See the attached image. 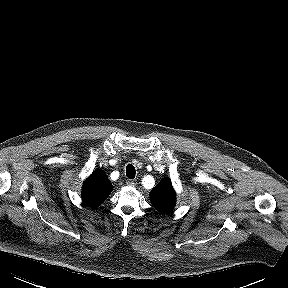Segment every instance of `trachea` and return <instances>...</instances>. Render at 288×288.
<instances>
[{"label": "trachea", "mask_w": 288, "mask_h": 288, "mask_svg": "<svg viewBox=\"0 0 288 288\" xmlns=\"http://www.w3.org/2000/svg\"><path fill=\"white\" fill-rule=\"evenodd\" d=\"M135 174H136L135 167L132 164H128L126 166V176L129 179H133L135 178Z\"/></svg>", "instance_id": "trachea-1"}]
</instances>
